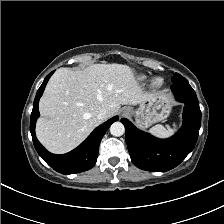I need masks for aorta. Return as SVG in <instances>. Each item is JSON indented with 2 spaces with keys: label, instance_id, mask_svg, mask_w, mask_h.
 <instances>
[{
  "label": "aorta",
  "instance_id": "aorta-1",
  "mask_svg": "<svg viewBox=\"0 0 224 224\" xmlns=\"http://www.w3.org/2000/svg\"><path fill=\"white\" fill-rule=\"evenodd\" d=\"M125 132V127L121 122H114L111 126H110V133L113 136H122Z\"/></svg>",
  "mask_w": 224,
  "mask_h": 224
}]
</instances>
